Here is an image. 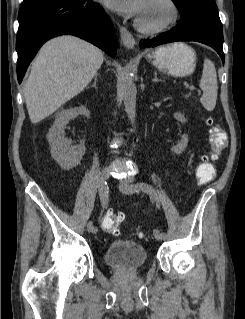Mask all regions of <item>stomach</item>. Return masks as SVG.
<instances>
[{"instance_id": "0dacf381", "label": "stomach", "mask_w": 245, "mask_h": 319, "mask_svg": "<svg viewBox=\"0 0 245 319\" xmlns=\"http://www.w3.org/2000/svg\"><path fill=\"white\" fill-rule=\"evenodd\" d=\"M146 57L159 70L175 77L190 75L196 67L195 51L182 42L161 46Z\"/></svg>"}]
</instances>
